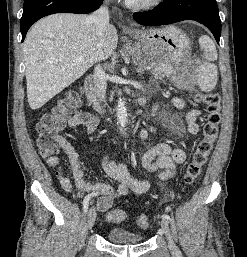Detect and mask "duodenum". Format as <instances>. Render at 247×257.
<instances>
[{
  "mask_svg": "<svg viewBox=\"0 0 247 257\" xmlns=\"http://www.w3.org/2000/svg\"><path fill=\"white\" fill-rule=\"evenodd\" d=\"M94 83H95V78L94 76L90 75L85 79L84 82V91L86 94V97L88 98L89 102L92 104V106L100 112H104L105 108L100 102V100L96 97L95 92H94Z\"/></svg>",
  "mask_w": 247,
  "mask_h": 257,
  "instance_id": "410a0bca",
  "label": "duodenum"
}]
</instances>
